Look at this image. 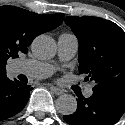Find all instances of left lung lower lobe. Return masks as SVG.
<instances>
[{"label":"left lung lower lobe","instance_id":"left-lung-lower-lobe-1","mask_svg":"<svg viewBox=\"0 0 125 125\" xmlns=\"http://www.w3.org/2000/svg\"><path fill=\"white\" fill-rule=\"evenodd\" d=\"M76 112L63 116L69 125H114L125 113V92L93 90L89 98L79 97Z\"/></svg>","mask_w":125,"mask_h":125}]
</instances>
